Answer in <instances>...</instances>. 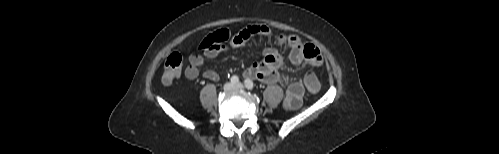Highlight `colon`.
<instances>
[{"label": "colon", "instance_id": "colon-1", "mask_svg": "<svg viewBox=\"0 0 499 154\" xmlns=\"http://www.w3.org/2000/svg\"><path fill=\"white\" fill-rule=\"evenodd\" d=\"M182 64V56L178 52H173L166 58L162 77L164 84H171L181 74ZM304 86L310 93H316L319 91L320 82L314 72L306 73L304 76Z\"/></svg>", "mask_w": 499, "mask_h": 154}]
</instances>
